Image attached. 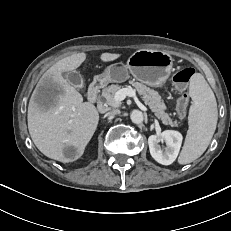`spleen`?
I'll list each match as a JSON object with an SVG mask.
<instances>
[{
	"mask_svg": "<svg viewBox=\"0 0 231 231\" xmlns=\"http://www.w3.org/2000/svg\"><path fill=\"white\" fill-rule=\"evenodd\" d=\"M189 129L179 155V164H188L199 158L207 149L216 129L218 110L216 98L209 84L200 73L190 81Z\"/></svg>",
	"mask_w": 231,
	"mask_h": 231,
	"instance_id": "spleen-1",
	"label": "spleen"
}]
</instances>
